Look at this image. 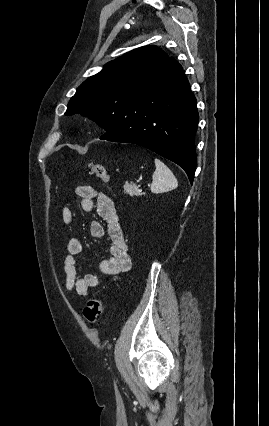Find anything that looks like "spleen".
<instances>
[{"label": "spleen", "mask_w": 269, "mask_h": 426, "mask_svg": "<svg viewBox=\"0 0 269 426\" xmlns=\"http://www.w3.org/2000/svg\"><path fill=\"white\" fill-rule=\"evenodd\" d=\"M154 162L156 170L152 176L151 192L159 194L175 189L178 182L171 170L159 159Z\"/></svg>", "instance_id": "1"}]
</instances>
